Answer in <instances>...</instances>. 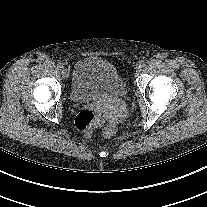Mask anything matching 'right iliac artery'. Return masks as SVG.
Masks as SVG:
<instances>
[{
    "mask_svg": "<svg viewBox=\"0 0 207 207\" xmlns=\"http://www.w3.org/2000/svg\"><path fill=\"white\" fill-rule=\"evenodd\" d=\"M57 67H58L59 69H62V68H63V63L59 62V63L57 64Z\"/></svg>",
    "mask_w": 207,
    "mask_h": 207,
    "instance_id": "obj_1",
    "label": "right iliac artery"
}]
</instances>
